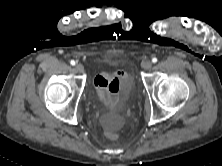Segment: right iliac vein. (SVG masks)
<instances>
[{
  "label": "right iliac vein",
  "mask_w": 222,
  "mask_h": 166,
  "mask_svg": "<svg viewBox=\"0 0 222 166\" xmlns=\"http://www.w3.org/2000/svg\"><path fill=\"white\" fill-rule=\"evenodd\" d=\"M75 70L78 72V73H82L84 71V67L83 65L81 64H76L75 65Z\"/></svg>",
  "instance_id": "63e3f726"
}]
</instances>
